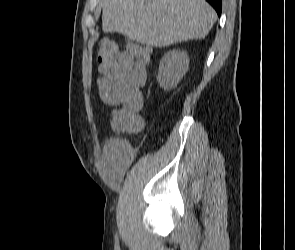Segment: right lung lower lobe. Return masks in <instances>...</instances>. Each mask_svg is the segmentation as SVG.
<instances>
[{
  "mask_svg": "<svg viewBox=\"0 0 295 250\" xmlns=\"http://www.w3.org/2000/svg\"><path fill=\"white\" fill-rule=\"evenodd\" d=\"M206 1L213 6V8L216 10L217 14L220 16L221 11H222L221 0H206Z\"/></svg>",
  "mask_w": 295,
  "mask_h": 250,
  "instance_id": "98d812e1",
  "label": "right lung lower lobe"
}]
</instances>
